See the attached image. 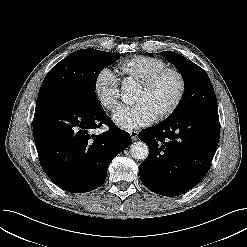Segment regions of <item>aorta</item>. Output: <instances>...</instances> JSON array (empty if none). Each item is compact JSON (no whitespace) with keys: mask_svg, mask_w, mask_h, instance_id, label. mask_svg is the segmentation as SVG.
Segmentation results:
<instances>
[{"mask_svg":"<svg viewBox=\"0 0 247 247\" xmlns=\"http://www.w3.org/2000/svg\"><path fill=\"white\" fill-rule=\"evenodd\" d=\"M123 92L122 98L124 101H127L129 97L127 87H123ZM130 153L137 160H145L149 155V148L144 142L137 141L130 145Z\"/></svg>","mask_w":247,"mask_h":247,"instance_id":"aorta-1","label":"aorta"}]
</instances>
